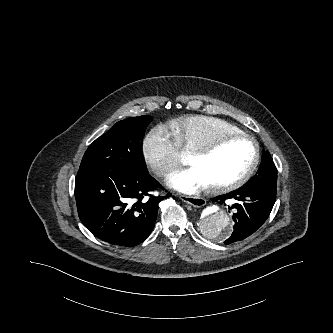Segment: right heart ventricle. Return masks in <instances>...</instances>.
<instances>
[{"label":"right heart ventricle","instance_id":"obj_1","mask_svg":"<svg viewBox=\"0 0 333 333\" xmlns=\"http://www.w3.org/2000/svg\"><path fill=\"white\" fill-rule=\"evenodd\" d=\"M169 133L178 149L191 152L199 145L223 133L242 132L238 127L215 117L191 115L172 120Z\"/></svg>","mask_w":333,"mask_h":333}]
</instances>
